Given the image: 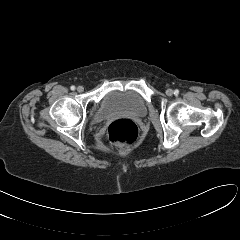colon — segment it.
Returning <instances> with one entry per match:
<instances>
[{"mask_svg":"<svg viewBox=\"0 0 240 240\" xmlns=\"http://www.w3.org/2000/svg\"><path fill=\"white\" fill-rule=\"evenodd\" d=\"M139 137V129L135 122L128 119H119L108 127V139L112 144L128 146Z\"/></svg>","mask_w":240,"mask_h":240,"instance_id":"5ec220e1","label":"colon"}]
</instances>
